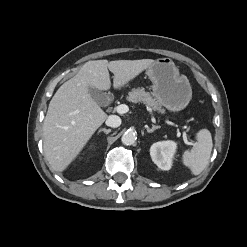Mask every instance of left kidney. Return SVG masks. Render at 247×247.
<instances>
[{
  "instance_id": "left-kidney-1",
  "label": "left kidney",
  "mask_w": 247,
  "mask_h": 247,
  "mask_svg": "<svg viewBox=\"0 0 247 247\" xmlns=\"http://www.w3.org/2000/svg\"><path fill=\"white\" fill-rule=\"evenodd\" d=\"M177 144L174 141H159L150 148L152 161L162 170H169L176 152Z\"/></svg>"
}]
</instances>
